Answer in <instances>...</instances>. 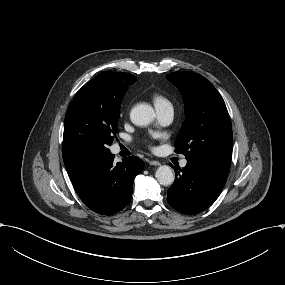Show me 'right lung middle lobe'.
Wrapping results in <instances>:
<instances>
[{
  "instance_id": "right-lung-middle-lobe-1",
  "label": "right lung middle lobe",
  "mask_w": 285,
  "mask_h": 285,
  "mask_svg": "<svg viewBox=\"0 0 285 285\" xmlns=\"http://www.w3.org/2000/svg\"><path fill=\"white\" fill-rule=\"evenodd\" d=\"M125 91L102 100H86L75 96L69 106L64 125L63 155L103 156L118 132L119 110Z\"/></svg>"
}]
</instances>
